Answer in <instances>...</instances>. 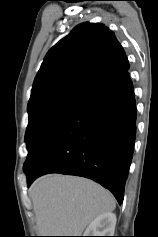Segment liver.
I'll list each match as a JSON object with an SVG mask.
<instances>
[{
  "mask_svg": "<svg viewBox=\"0 0 158 237\" xmlns=\"http://www.w3.org/2000/svg\"><path fill=\"white\" fill-rule=\"evenodd\" d=\"M38 236H81L99 215L112 212L113 195L81 177L49 174L29 189Z\"/></svg>",
  "mask_w": 158,
  "mask_h": 237,
  "instance_id": "liver-1",
  "label": "liver"
}]
</instances>
